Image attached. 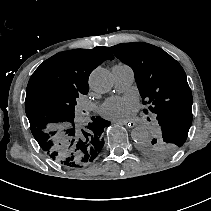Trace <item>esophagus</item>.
<instances>
[{"label": "esophagus", "mask_w": 211, "mask_h": 211, "mask_svg": "<svg viewBox=\"0 0 211 211\" xmlns=\"http://www.w3.org/2000/svg\"><path fill=\"white\" fill-rule=\"evenodd\" d=\"M114 122L121 124V125H127V129H132L133 126H135V122L130 120H114Z\"/></svg>", "instance_id": "34e87169"}]
</instances>
